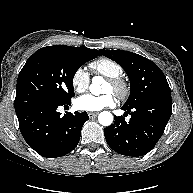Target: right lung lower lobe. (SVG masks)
<instances>
[{
  "instance_id": "1",
  "label": "right lung lower lobe",
  "mask_w": 193,
  "mask_h": 193,
  "mask_svg": "<svg viewBox=\"0 0 193 193\" xmlns=\"http://www.w3.org/2000/svg\"><path fill=\"white\" fill-rule=\"evenodd\" d=\"M65 104L71 102L45 99L16 111L22 136L43 157L56 158L71 152L80 140L82 126L89 119L86 112L61 117L57 108Z\"/></svg>"
}]
</instances>
